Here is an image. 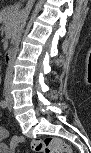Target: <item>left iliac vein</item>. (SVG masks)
I'll use <instances>...</instances> for the list:
<instances>
[{
  "label": "left iliac vein",
  "mask_w": 91,
  "mask_h": 153,
  "mask_svg": "<svg viewBox=\"0 0 91 153\" xmlns=\"http://www.w3.org/2000/svg\"><path fill=\"white\" fill-rule=\"evenodd\" d=\"M11 108H12V105H11V104H9V105H8V109H9V110H11Z\"/></svg>",
  "instance_id": "1"
}]
</instances>
